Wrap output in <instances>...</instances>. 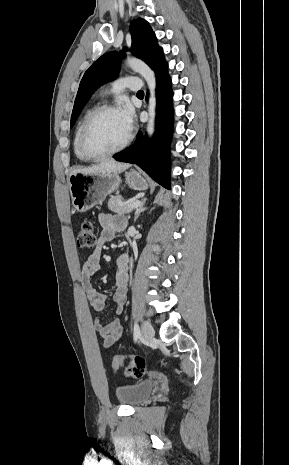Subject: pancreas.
<instances>
[{
  "label": "pancreas",
  "instance_id": "obj_1",
  "mask_svg": "<svg viewBox=\"0 0 289 465\" xmlns=\"http://www.w3.org/2000/svg\"><path fill=\"white\" fill-rule=\"evenodd\" d=\"M108 208L112 212L118 214H126L131 212L134 208L130 207L129 204L123 203V198L120 195L112 196L108 201Z\"/></svg>",
  "mask_w": 289,
  "mask_h": 465
}]
</instances>
